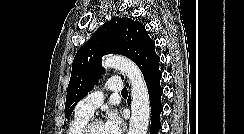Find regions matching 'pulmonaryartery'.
I'll use <instances>...</instances> for the list:
<instances>
[{"instance_id":"e3ab8cb5","label":"pulmonary artery","mask_w":244,"mask_h":134,"mask_svg":"<svg viewBox=\"0 0 244 134\" xmlns=\"http://www.w3.org/2000/svg\"><path fill=\"white\" fill-rule=\"evenodd\" d=\"M106 89L118 93L123 89V83L119 78H111L106 83ZM103 102V93L96 91L83 98L76 106V113L91 117L95 109Z\"/></svg>"}]
</instances>
